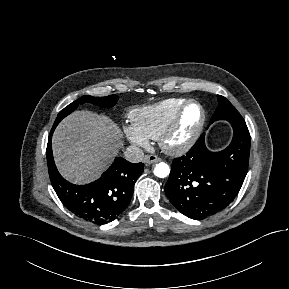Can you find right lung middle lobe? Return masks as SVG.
Here are the masks:
<instances>
[{"label": "right lung middle lobe", "mask_w": 289, "mask_h": 289, "mask_svg": "<svg viewBox=\"0 0 289 289\" xmlns=\"http://www.w3.org/2000/svg\"><path fill=\"white\" fill-rule=\"evenodd\" d=\"M117 101H118L117 95H110L107 97L82 96L59 112L54 122L53 127H56L64 117H66L75 109H77L79 105L89 102V103H92L101 107L110 108V107H113Z\"/></svg>", "instance_id": "1"}]
</instances>
